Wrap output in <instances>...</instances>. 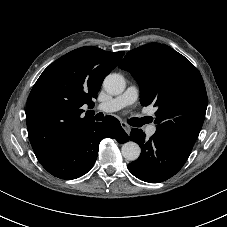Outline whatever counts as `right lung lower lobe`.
<instances>
[{
  "label": "right lung lower lobe",
  "instance_id": "obj_1",
  "mask_svg": "<svg viewBox=\"0 0 227 227\" xmlns=\"http://www.w3.org/2000/svg\"><path fill=\"white\" fill-rule=\"evenodd\" d=\"M127 136L120 122L106 116L103 122H90L86 128L65 143L42 166L53 176L71 180L87 173L94 165L103 138Z\"/></svg>",
  "mask_w": 227,
  "mask_h": 227
}]
</instances>
